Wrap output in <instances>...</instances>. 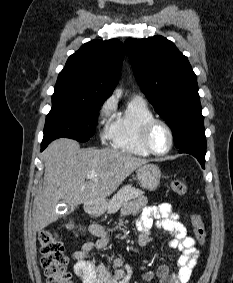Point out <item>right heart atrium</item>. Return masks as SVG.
<instances>
[{"instance_id":"d8ad5b80","label":"right heart atrium","mask_w":233,"mask_h":283,"mask_svg":"<svg viewBox=\"0 0 233 283\" xmlns=\"http://www.w3.org/2000/svg\"><path fill=\"white\" fill-rule=\"evenodd\" d=\"M114 104L111 99L105 100L99 107L97 112V120L100 125V139L106 142L110 138V124L107 121L112 116Z\"/></svg>"}]
</instances>
